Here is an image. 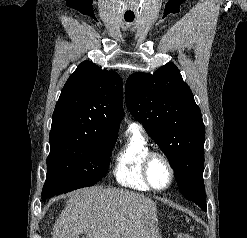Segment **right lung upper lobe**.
Here are the masks:
<instances>
[{
  "label": "right lung upper lobe",
  "instance_id": "1",
  "mask_svg": "<svg viewBox=\"0 0 247 238\" xmlns=\"http://www.w3.org/2000/svg\"><path fill=\"white\" fill-rule=\"evenodd\" d=\"M123 84L113 71L82 62L65 83L56 103L50 137L67 133L118 135Z\"/></svg>",
  "mask_w": 247,
  "mask_h": 238
}]
</instances>
